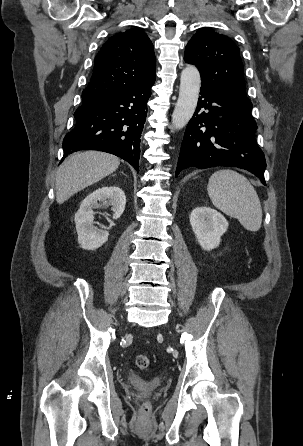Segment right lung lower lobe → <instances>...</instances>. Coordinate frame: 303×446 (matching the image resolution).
<instances>
[{
	"label": "right lung lower lobe",
	"mask_w": 303,
	"mask_h": 446,
	"mask_svg": "<svg viewBox=\"0 0 303 446\" xmlns=\"http://www.w3.org/2000/svg\"><path fill=\"white\" fill-rule=\"evenodd\" d=\"M154 81L82 102L74 113L75 127L63 140V159L79 150H99L121 157L139 171L140 137Z\"/></svg>",
	"instance_id": "1"
}]
</instances>
